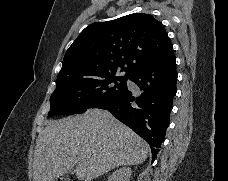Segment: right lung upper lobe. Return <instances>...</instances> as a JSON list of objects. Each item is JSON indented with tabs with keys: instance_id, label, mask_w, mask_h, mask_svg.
<instances>
[{
	"instance_id": "1",
	"label": "right lung upper lobe",
	"mask_w": 228,
	"mask_h": 181,
	"mask_svg": "<svg viewBox=\"0 0 228 181\" xmlns=\"http://www.w3.org/2000/svg\"><path fill=\"white\" fill-rule=\"evenodd\" d=\"M173 48L161 22L134 13L95 22L86 27L67 50L57 86L115 75L131 76L142 65Z\"/></svg>"
}]
</instances>
